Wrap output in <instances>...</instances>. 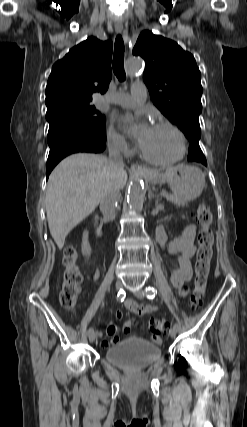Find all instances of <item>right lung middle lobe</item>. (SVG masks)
<instances>
[{
    "label": "right lung middle lobe",
    "mask_w": 247,
    "mask_h": 427,
    "mask_svg": "<svg viewBox=\"0 0 247 427\" xmlns=\"http://www.w3.org/2000/svg\"><path fill=\"white\" fill-rule=\"evenodd\" d=\"M49 124L65 123L105 141V116L92 105L66 106L46 114Z\"/></svg>",
    "instance_id": "right-lung-middle-lobe-1"
}]
</instances>
